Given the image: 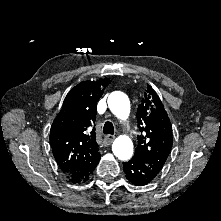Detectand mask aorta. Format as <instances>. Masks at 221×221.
Masks as SVG:
<instances>
[{
	"instance_id": "aorta-1",
	"label": "aorta",
	"mask_w": 221,
	"mask_h": 221,
	"mask_svg": "<svg viewBox=\"0 0 221 221\" xmlns=\"http://www.w3.org/2000/svg\"><path fill=\"white\" fill-rule=\"evenodd\" d=\"M108 106L111 112L121 120H125L129 116L130 101L123 92H112L108 97ZM112 151L120 160H129L133 155L132 140L124 135L117 137L113 142Z\"/></svg>"
}]
</instances>
